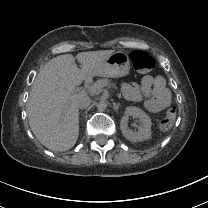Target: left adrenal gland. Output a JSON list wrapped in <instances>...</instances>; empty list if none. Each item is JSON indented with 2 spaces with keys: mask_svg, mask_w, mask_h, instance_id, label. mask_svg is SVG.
<instances>
[{
  "mask_svg": "<svg viewBox=\"0 0 208 208\" xmlns=\"http://www.w3.org/2000/svg\"><path fill=\"white\" fill-rule=\"evenodd\" d=\"M119 106H120V103H118V104H113V109L115 110V111H118V108H119Z\"/></svg>",
  "mask_w": 208,
  "mask_h": 208,
  "instance_id": "left-adrenal-gland-1",
  "label": "left adrenal gland"
}]
</instances>
